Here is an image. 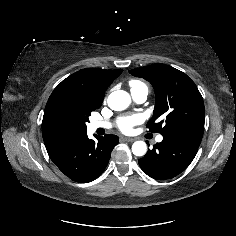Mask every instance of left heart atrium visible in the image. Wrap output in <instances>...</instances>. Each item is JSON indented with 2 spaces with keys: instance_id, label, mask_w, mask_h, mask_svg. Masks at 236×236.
I'll list each match as a JSON object with an SVG mask.
<instances>
[{
  "instance_id": "1",
  "label": "left heart atrium",
  "mask_w": 236,
  "mask_h": 236,
  "mask_svg": "<svg viewBox=\"0 0 236 236\" xmlns=\"http://www.w3.org/2000/svg\"><path fill=\"white\" fill-rule=\"evenodd\" d=\"M142 118L139 115L122 116L117 119V125L120 131L128 133L132 128L140 123Z\"/></svg>"
}]
</instances>
